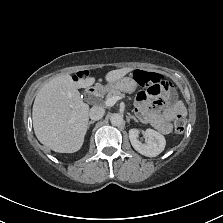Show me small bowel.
Instances as JSON below:
<instances>
[{
	"instance_id": "obj_1",
	"label": "small bowel",
	"mask_w": 223,
	"mask_h": 223,
	"mask_svg": "<svg viewBox=\"0 0 223 223\" xmlns=\"http://www.w3.org/2000/svg\"><path fill=\"white\" fill-rule=\"evenodd\" d=\"M135 104L139 117L164 134L172 131V122L178 114L186 113L168 81L139 92Z\"/></svg>"
}]
</instances>
